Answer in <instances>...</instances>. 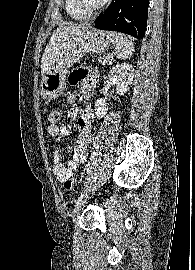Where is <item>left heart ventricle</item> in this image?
I'll return each mask as SVG.
<instances>
[{
  "label": "left heart ventricle",
  "instance_id": "1",
  "mask_svg": "<svg viewBox=\"0 0 195 270\" xmlns=\"http://www.w3.org/2000/svg\"><path fill=\"white\" fill-rule=\"evenodd\" d=\"M88 4L90 5H95L97 4L98 2H100L101 0H86Z\"/></svg>",
  "mask_w": 195,
  "mask_h": 270
}]
</instances>
